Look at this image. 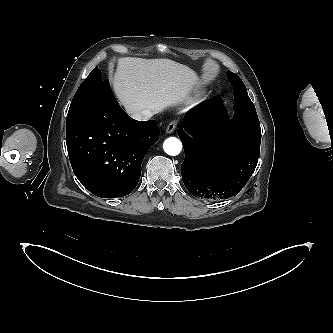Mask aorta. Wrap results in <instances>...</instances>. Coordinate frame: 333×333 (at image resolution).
<instances>
[{
	"instance_id": "762f6f07",
	"label": "aorta",
	"mask_w": 333,
	"mask_h": 333,
	"mask_svg": "<svg viewBox=\"0 0 333 333\" xmlns=\"http://www.w3.org/2000/svg\"><path fill=\"white\" fill-rule=\"evenodd\" d=\"M164 151L171 156L178 155L182 150V144L176 137H169L164 141Z\"/></svg>"
}]
</instances>
